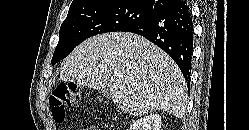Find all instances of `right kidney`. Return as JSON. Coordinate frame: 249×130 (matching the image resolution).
<instances>
[{"mask_svg":"<svg viewBox=\"0 0 249 130\" xmlns=\"http://www.w3.org/2000/svg\"><path fill=\"white\" fill-rule=\"evenodd\" d=\"M161 116L159 114H150L138 119L133 123L130 130H160Z\"/></svg>","mask_w":249,"mask_h":130,"instance_id":"obj_1","label":"right kidney"}]
</instances>
